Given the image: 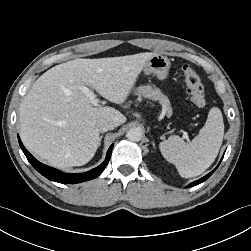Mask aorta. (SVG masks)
<instances>
[{"label": "aorta", "instance_id": "762f6f07", "mask_svg": "<svg viewBox=\"0 0 251 251\" xmlns=\"http://www.w3.org/2000/svg\"><path fill=\"white\" fill-rule=\"evenodd\" d=\"M143 132L140 128H131L127 131L126 137L133 142H138L141 140Z\"/></svg>", "mask_w": 251, "mask_h": 251}]
</instances>
